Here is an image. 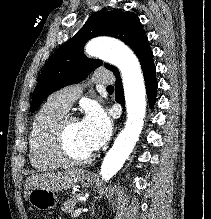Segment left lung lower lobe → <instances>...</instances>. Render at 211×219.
<instances>
[{"instance_id": "0a47b994", "label": "left lung lower lobe", "mask_w": 211, "mask_h": 219, "mask_svg": "<svg viewBox=\"0 0 211 219\" xmlns=\"http://www.w3.org/2000/svg\"><path fill=\"white\" fill-rule=\"evenodd\" d=\"M135 54L137 55L143 70L149 104L150 106H153L156 101V90L158 85L156 80V68L153 62V53L149 47L148 38L141 43ZM114 75L116 77L115 100L124 107V93L119 71H115Z\"/></svg>"}]
</instances>
